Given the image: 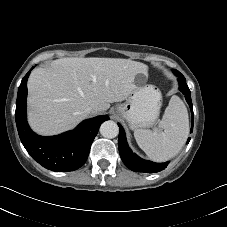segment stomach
<instances>
[{
	"label": "stomach",
	"instance_id": "0dacf381",
	"mask_svg": "<svg viewBox=\"0 0 227 227\" xmlns=\"http://www.w3.org/2000/svg\"><path fill=\"white\" fill-rule=\"evenodd\" d=\"M146 73H141L135 81L136 88L124 103L116 106L119 116L126 119L131 129L152 126L159 116L162 95L159 89L142 81Z\"/></svg>",
	"mask_w": 227,
	"mask_h": 227
}]
</instances>
